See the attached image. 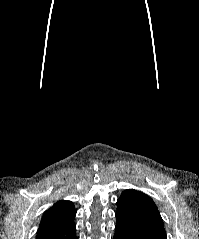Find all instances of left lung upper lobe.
<instances>
[{
    "mask_svg": "<svg viewBox=\"0 0 199 239\" xmlns=\"http://www.w3.org/2000/svg\"><path fill=\"white\" fill-rule=\"evenodd\" d=\"M117 212L142 222L166 239L163 220L155 203L148 195L133 189L123 191L117 200Z\"/></svg>",
    "mask_w": 199,
    "mask_h": 239,
    "instance_id": "obj_1",
    "label": "left lung upper lobe"
}]
</instances>
